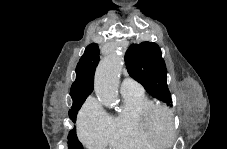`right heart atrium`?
<instances>
[{
  "label": "right heart atrium",
  "instance_id": "d8ad5b80",
  "mask_svg": "<svg viewBox=\"0 0 227 149\" xmlns=\"http://www.w3.org/2000/svg\"><path fill=\"white\" fill-rule=\"evenodd\" d=\"M109 116L95 98H89L78 117L79 136L88 148H100L108 140Z\"/></svg>",
  "mask_w": 227,
  "mask_h": 149
}]
</instances>
